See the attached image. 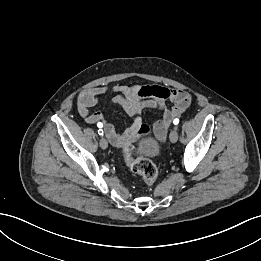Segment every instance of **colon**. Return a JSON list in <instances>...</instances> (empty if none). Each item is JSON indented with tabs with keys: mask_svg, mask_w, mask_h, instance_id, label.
Returning a JSON list of instances; mask_svg holds the SVG:
<instances>
[{
	"mask_svg": "<svg viewBox=\"0 0 261 261\" xmlns=\"http://www.w3.org/2000/svg\"><path fill=\"white\" fill-rule=\"evenodd\" d=\"M133 145L127 142L123 147V152L127 165L132 172L138 174L144 183L148 186L154 184L158 176V170L155 164L148 158L132 156Z\"/></svg>",
	"mask_w": 261,
	"mask_h": 261,
	"instance_id": "1",
	"label": "colon"
}]
</instances>
